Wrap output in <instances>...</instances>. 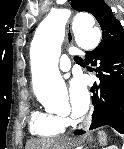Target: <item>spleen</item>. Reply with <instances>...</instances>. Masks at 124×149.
Returning <instances> with one entry per match:
<instances>
[{
    "mask_svg": "<svg viewBox=\"0 0 124 149\" xmlns=\"http://www.w3.org/2000/svg\"><path fill=\"white\" fill-rule=\"evenodd\" d=\"M98 135H99V142H100L102 145H105L106 142H107V136H106V134H105L103 131H99V132H98Z\"/></svg>",
    "mask_w": 124,
    "mask_h": 149,
    "instance_id": "spleen-1",
    "label": "spleen"
}]
</instances>
